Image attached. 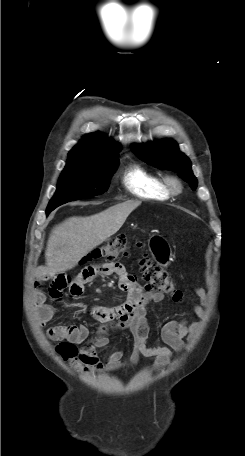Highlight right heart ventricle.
<instances>
[{
  "mask_svg": "<svg viewBox=\"0 0 245 456\" xmlns=\"http://www.w3.org/2000/svg\"><path fill=\"white\" fill-rule=\"evenodd\" d=\"M124 187L136 197L154 200H167L171 193L164 179L139 165L129 166L121 177Z\"/></svg>",
  "mask_w": 245,
  "mask_h": 456,
  "instance_id": "right-heart-ventricle-1",
  "label": "right heart ventricle"
}]
</instances>
